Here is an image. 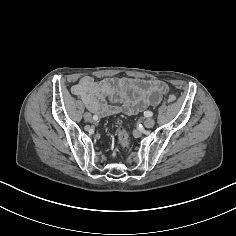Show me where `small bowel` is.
Wrapping results in <instances>:
<instances>
[{"instance_id":"c3829d8e","label":"small bowel","mask_w":236,"mask_h":236,"mask_svg":"<svg viewBox=\"0 0 236 236\" xmlns=\"http://www.w3.org/2000/svg\"><path fill=\"white\" fill-rule=\"evenodd\" d=\"M168 91V86L158 80L114 77L97 82L91 76L82 77L72 87L95 116L119 112L136 114L148 106L156 105ZM111 99L112 103L106 100Z\"/></svg>"}]
</instances>
